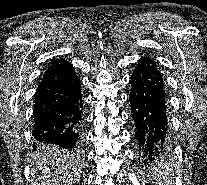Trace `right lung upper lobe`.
I'll list each match as a JSON object with an SVG mask.
<instances>
[{"instance_id":"right-lung-upper-lobe-1","label":"right lung upper lobe","mask_w":207,"mask_h":185,"mask_svg":"<svg viewBox=\"0 0 207 185\" xmlns=\"http://www.w3.org/2000/svg\"><path fill=\"white\" fill-rule=\"evenodd\" d=\"M73 67L65 60H54L45 71L40 85H43L51 80L60 79L62 77L73 74Z\"/></svg>"}]
</instances>
